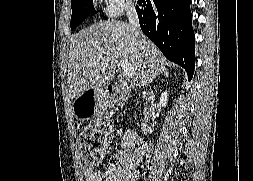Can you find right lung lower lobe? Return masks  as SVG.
I'll return each mask as SVG.
<instances>
[{
  "label": "right lung lower lobe",
  "instance_id": "1",
  "mask_svg": "<svg viewBox=\"0 0 253 181\" xmlns=\"http://www.w3.org/2000/svg\"><path fill=\"white\" fill-rule=\"evenodd\" d=\"M140 27L167 59L182 66L192 79L195 36L190 0H142L136 6Z\"/></svg>",
  "mask_w": 253,
  "mask_h": 181
}]
</instances>
